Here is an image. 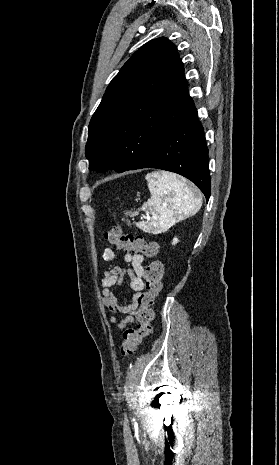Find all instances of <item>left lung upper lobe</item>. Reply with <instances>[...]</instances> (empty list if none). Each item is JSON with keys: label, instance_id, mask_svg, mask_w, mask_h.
<instances>
[{"label": "left lung upper lobe", "instance_id": "5c2ea615", "mask_svg": "<svg viewBox=\"0 0 279 465\" xmlns=\"http://www.w3.org/2000/svg\"><path fill=\"white\" fill-rule=\"evenodd\" d=\"M177 48L162 37L139 48L112 79L88 127L89 169L130 170L190 102Z\"/></svg>", "mask_w": 279, "mask_h": 465}]
</instances>
